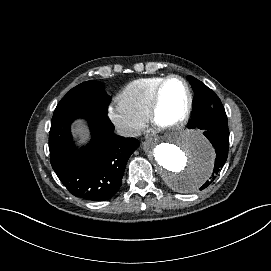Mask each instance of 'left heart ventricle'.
I'll return each mask as SVG.
<instances>
[{"mask_svg": "<svg viewBox=\"0 0 271 271\" xmlns=\"http://www.w3.org/2000/svg\"><path fill=\"white\" fill-rule=\"evenodd\" d=\"M188 94L185 85L177 79L167 83L162 94L160 120L164 123L178 118L185 110Z\"/></svg>", "mask_w": 271, "mask_h": 271, "instance_id": "left-heart-ventricle-1", "label": "left heart ventricle"}]
</instances>
